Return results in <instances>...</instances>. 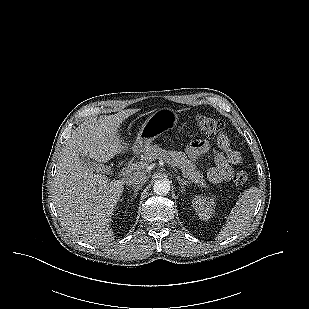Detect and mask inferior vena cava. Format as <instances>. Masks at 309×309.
I'll list each match as a JSON object with an SVG mask.
<instances>
[{
  "label": "inferior vena cava",
  "instance_id": "obj_1",
  "mask_svg": "<svg viewBox=\"0 0 309 309\" xmlns=\"http://www.w3.org/2000/svg\"><path fill=\"white\" fill-rule=\"evenodd\" d=\"M146 181H147V177L145 173L140 172V171H134L133 173L129 174L125 178V183L128 186H132V187L141 188L145 184Z\"/></svg>",
  "mask_w": 309,
  "mask_h": 309
}]
</instances>
